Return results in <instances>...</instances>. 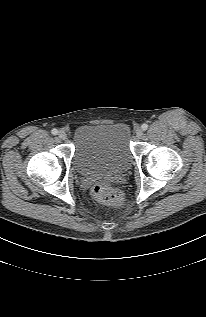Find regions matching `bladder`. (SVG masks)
<instances>
[{"instance_id":"1","label":"bladder","mask_w":206,"mask_h":317,"mask_svg":"<svg viewBox=\"0 0 206 317\" xmlns=\"http://www.w3.org/2000/svg\"><path fill=\"white\" fill-rule=\"evenodd\" d=\"M131 133L126 124L81 125L73 133V166L82 177L118 174L132 163Z\"/></svg>"}]
</instances>
